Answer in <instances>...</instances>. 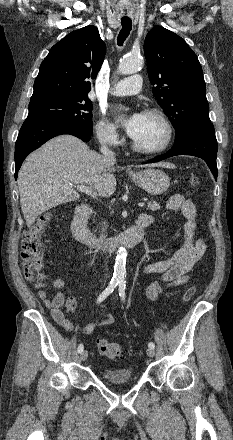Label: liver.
<instances>
[{
    "mask_svg": "<svg viewBox=\"0 0 233 440\" xmlns=\"http://www.w3.org/2000/svg\"><path fill=\"white\" fill-rule=\"evenodd\" d=\"M113 165L72 135L49 140L31 153L19 170L17 181L26 225L30 227L39 215L53 207L79 199L73 184L90 185L102 196L112 195L116 190Z\"/></svg>",
    "mask_w": 233,
    "mask_h": 440,
    "instance_id": "liver-1",
    "label": "liver"
}]
</instances>
